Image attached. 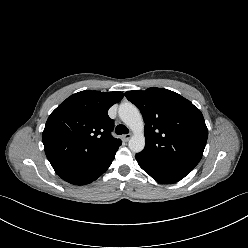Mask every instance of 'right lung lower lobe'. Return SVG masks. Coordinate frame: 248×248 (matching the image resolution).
Here are the masks:
<instances>
[{
  "instance_id": "right-lung-lower-lobe-1",
  "label": "right lung lower lobe",
  "mask_w": 248,
  "mask_h": 248,
  "mask_svg": "<svg viewBox=\"0 0 248 248\" xmlns=\"http://www.w3.org/2000/svg\"><path fill=\"white\" fill-rule=\"evenodd\" d=\"M118 147L88 161H54L50 163L63 180L74 185H84L96 180L108 169Z\"/></svg>"
}]
</instances>
